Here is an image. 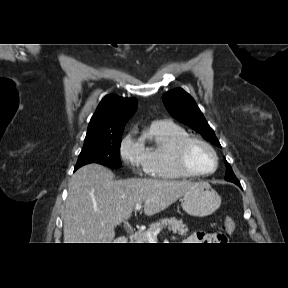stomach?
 Wrapping results in <instances>:
<instances>
[{"label":"stomach","mask_w":288,"mask_h":288,"mask_svg":"<svg viewBox=\"0 0 288 288\" xmlns=\"http://www.w3.org/2000/svg\"><path fill=\"white\" fill-rule=\"evenodd\" d=\"M183 210L191 216L205 217L215 212L221 205V197L206 182L195 187L181 198Z\"/></svg>","instance_id":"obj_1"}]
</instances>
